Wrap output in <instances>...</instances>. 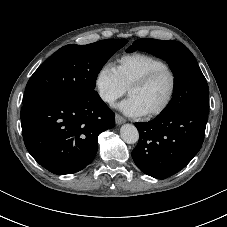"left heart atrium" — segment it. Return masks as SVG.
<instances>
[{
  "instance_id": "39dd6f15",
  "label": "left heart atrium",
  "mask_w": 227,
  "mask_h": 227,
  "mask_svg": "<svg viewBox=\"0 0 227 227\" xmlns=\"http://www.w3.org/2000/svg\"><path fill=\"white\" fill-rule=\"evenodd\" d=\"M117 107L127 116L139 117L145 114L137 101L130 96L122 101Z\"/></svg>"
}]
</instances>
